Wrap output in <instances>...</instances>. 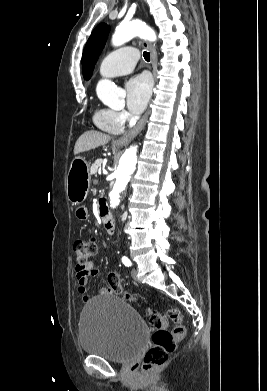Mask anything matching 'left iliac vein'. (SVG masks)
<instances>
[{"label":"left iliac vein","mask_w":267,"mask_h":391,"mask_svg":"<svg viewBox=\"0 0 267 391\" xmlns=\"http://www.w3.org/2000/svg\"><path fill=\"white\" fill-rule=\"evenodd\" d=\"M131 275H132V278H133L135 281L138 280V277H137V270H136L135 268L132 269Z\"/></svg>","instance_id":"1"}]
</instances>
